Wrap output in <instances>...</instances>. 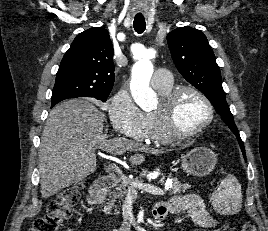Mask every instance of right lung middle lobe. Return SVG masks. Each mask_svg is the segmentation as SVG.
<instances>
[{"label": "right lung middle lobe", "instance_id": "dd1d6c3e", "mask_svg": "<svg viewBox=\"0 0 268 231\" xmlns=\"http://www.w3.org/2000/svg\"><path fill=\"white\" fill-rule=\"evenodd\" d=\"M65 94H66L65 90H62L61 88H58V89L54 88L53 92H52V101L63 97ZM107 97H108V95H106V96H97V97H94V98L104 102V101L107 100ZM53 106L54 105H52V107Z\"/></svg>", "mask_w": 268, "mask_h": 231}]
</instances>
